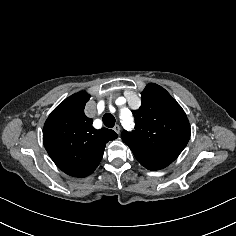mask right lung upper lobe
Wrapping results in <instances>:
<instances>
[{"mask_svg": "<svg viewBox=\"0 0 236 236\" xmlns=\"http://www.w3.org/2000/svg\"><path fill=\"white\" fill-rule=\"evenodd\" d=\"M90 96L79 92L65 99L49 115L43 128L45 149L66 174L86 177L99 165L105 145L117 138L110 129L95 130L84 114Z\"/></svg>", "mask_w": 236, "mask_h": 236, "instance_id": "right-lung-upper-lobe-1", "label": "right lung upper lobe"}]
</instances>
